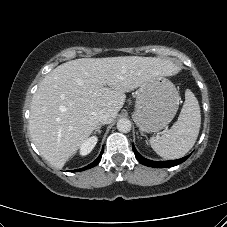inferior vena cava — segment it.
<instances>
[{
	"mask_svg": "<svg viewBox=\"0 0 227 227\" xmlns=\"http://www.w3.org/2000/svg\"><path fill=\"white\" fill-rule=\"evenodd\" d=\"M115 117H116V113L113 112L111 109H102L99 112V121L102 124L111 123Z\"/></svg>",
	"mask_w": 227,
	"mask_h": 227,
	"instance_id": "obj_1",
	"label": "inferior vena cava"
}]
</instances>
